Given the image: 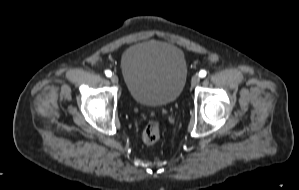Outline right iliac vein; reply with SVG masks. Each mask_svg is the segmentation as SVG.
Wrapping results in <instances>:
<instances>
[{"label":"right iliac vein","instance_id":"right-iliac-vein-1","mask_svg":"<svg viewBox=\"0 0 299 190\" xmlns=\"http://www.w3.org/2000/svg\"><path fill=\"white\" fill-rule=\"evenodd\" d=\"M110 79H111V82L113 84H117L118 83V76L117 75H112Z\"/></svg>","mask_w":299,"mask_h":190}]
</instances>
